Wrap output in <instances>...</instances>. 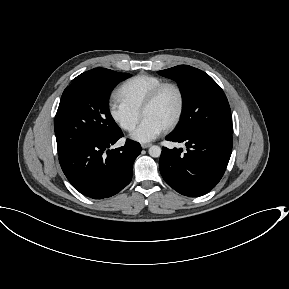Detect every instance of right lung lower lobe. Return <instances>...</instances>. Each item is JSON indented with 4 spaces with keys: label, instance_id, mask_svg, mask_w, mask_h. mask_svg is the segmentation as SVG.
I'll return each instance as SVG.
<instances>
[{
    "label": "right lung lower lobe",
    "instance_id": "98d812e1",
    "mask_svg": "<svg viewBox=\"0 0 289 289\" xmlns=\"http://www.w3.org/2000/svg\"><path fill=\"white\" fill-rule=\"evenodd\" d=\"M122 136L119 130L106 139L59 155L61 168L76 190L87 197L103 199L117 194L130 183L133 163L141 146L127 139L123 147L109 150Z\"/></svg>",
    "mask_w": 289,
    "mask_h": 289
}]
</instances>
